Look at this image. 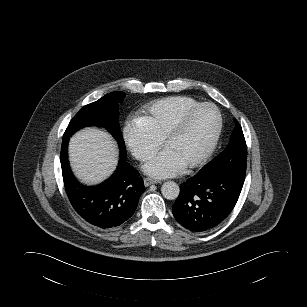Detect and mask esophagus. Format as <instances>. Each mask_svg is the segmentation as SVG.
Here are the masks:
<instances>
[{
    "label": "esophagus",
    "instance_id": "obj_1",
    "mask_svg": "<svg viewBox=\"0 0 307 307\" xmlns=\"http://www.w3.org/2000/svg\"><path fill=\"white\" fill-rule=\"evenodd\" d=\"M157 184V183H161V181L160 180H157V179H152V178H145L144 179V184H145V186H149V185H151V184Z\"/></svg>",
    "mask_w": 307,
    "mask_h": 307
}]
</instances>
